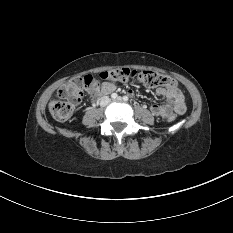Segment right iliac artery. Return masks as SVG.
I'll use <instances>...</instances> for the list:
<instances>
[{"mask_svg":"<svg viewBox=\"0 0 233 233\" xmlns=\"http://www.w3.org/2000/svg\"><path fill=\"white\" fill-rule=\"evenodd\" d=\"M117 96H118V95H117L116 93H113V94L111 95V98L116 99Z\"/></svg>","mask_w":233,"mask_h":233,"instance_id":"1","label":"right iliac artery"}]
</instances>
